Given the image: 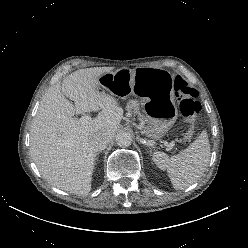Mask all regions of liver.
<instances>
[{
	"label": "liver",
	"instance_id": "1",
	"mask_svg": "<svg viewBox=\"0 0 248 248\" xmlns=\"http://www.w3.org/2000/svg\"><path fill=\"white\" fill-rule=\"evenodd\" d=\"M112 69L77 70L42 97L31 124L30 155L52 186L76 195L90 192L97 152L91 140L98 133L112 139L123 118L122 107L99 84V77ZM77 110L99 114L84 123L73 117Z\"/></svg>",
	"mask_w": 248,
	"mask_h": 248
}]
</instances>
